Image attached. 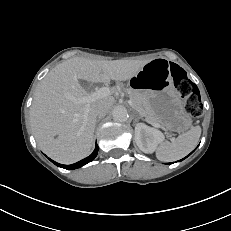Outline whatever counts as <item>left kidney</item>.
Returning a JSON list of instances; mask_svg holds the SVG:
<instances>
[{"label": "left kidney", "mask_w": 231, "mask_h": 231, "mask_svg": "<svg viewBox=\"0 0 231 231\" xmlns=\"http://www.w3.org/2000/svg\"><path fill=\"white\" fill-rule=\"evenodd\" d=\"M164 139L163 134L144 123L135 126V142L144 153H153L157 145Z\"/></svg>", "instance_id": "1"}]
</instances>
